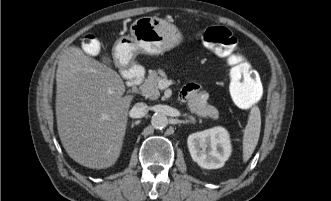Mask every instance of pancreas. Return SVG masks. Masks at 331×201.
Masks as SVG:
<instances>
[{
    "mask_svg": "<svg viewBox=\"0 0 331 201\" xmlns=\"http://www.w3.org/2000/svg\"><path fill=\"white\" fill-rule=\"evenodd\" d=\"M160 79L161 77L156 71H150L144 83L139 87L141 94L146 98L156 100L160 96L158 88ZM208 97L209 95L206 92L193 94L188 100V109L198 117L218 119L219 112L214 106L208 104Z\"/></svg>",
    "mask_w": 331,
    "mask_h": 201,
    "instance_id": "pancreas-1",
    "label": "pancreas"
}]
</instances>
